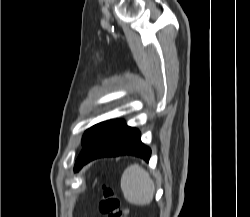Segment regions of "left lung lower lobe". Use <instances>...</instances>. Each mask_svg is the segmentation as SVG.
Here are the masks:
<instances>
[{"label": "left lung lower lobe", "instance_id": "obj_1", "mask_svg": "<svg viewBox=\"0 0 250 217\" xmlns=\"http://www.w3.org/2000/svg\"><path fill=\"white\" fill-rule=\"evenodd\" d=\"M134 155L149 161L151 150L140 140V132L123 120L107 121L83 147L74 170L100 157Z\"/></svg>", "mask_w": 250, "mask_h": 217}]
</instances>
